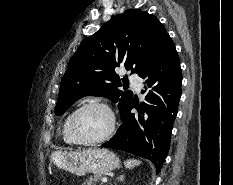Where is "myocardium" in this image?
I'll list each match as a JSON object with an SVG mask.
<instances>
[{"label": "myocardium", "instance_id": "1", "mask_svg": "<svg viewBox=\"0 0 233 185\" xmlns=\"http://www.w3.org/2000/svg\"><path fill=\"white\" fill-rule=\"evenodd\" d=\"M94 107L102 108V109L106 110L110 116L111 124H110L108 131L104 135H102L101 137L94 138V139H84V138L80 137L78 135V133L76 132L75 121L80 113H82L83 111H85L89 108H94ZM116 125H117L116 116L108 104L101 102V101H90V102L78 107L72 113V115L69 119L68 129H69V133H70L71 137L78 144L95 145V144H99V143L105 142L106 140L110 139L116 130Z\"/></svg>", "mask_w": 233, "mask_h": 185}]
</instances>
